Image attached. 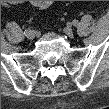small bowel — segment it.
Instances as JSON below:
<instances>
[{
    "label": "small bowel",
    "instance_id": "c3829d8e",
    "mask_svg": "<svg viewBox=\"0 0 109 109\" xmlns=\"http://www.w3.org/2000/svg\"><path fill=\"white\" fill-rule=\"evenodd\" d=\"M33 5L38 9H46L50 5V1H33Z\"/></svg>",
    "mask_w": 109,
    "mask_h": 109
}]
</instances>
